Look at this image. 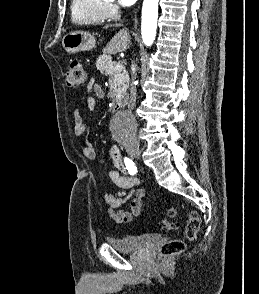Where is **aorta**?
<instances>
[{
    "instance_id": "1",
    "label": "aorta",
    "mask_w": 259,
    "mask_h": 294,
    "mask_svg": "<svg viewBox=\"0 0 259 294\" xmlns=\"http://www.w3.org/2000/svg\"><path fill=\"white\" fill-rule=\"evenodd\" d=\"M158 1L144 0L142 7L141 33L142 39L146 46H151L156 36L157 18H158ZM136 120L133 115L126 112L117 114L113 130L120 136L131 135L134 133Z\"/></svg>"
}]
</instances>
